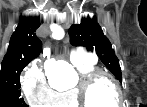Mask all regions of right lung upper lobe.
<instances>
[{"mask_svg":"<svg viewBox=\"0 0 147 107\" xmlns=\"http://www.w3.org/2000/svg\"><path fill=\"white\" fill-rule=\"evenodd\" d=\"M40 26L38 18H20L19 24L12 34L8 50L1 64L0 76L19 69L36 57L42 49L40 39L35 35Z\"/></svg>","mask_w":147,"mask_h":107,"instance_id":"obj_1","label":"right lung upper lobe"}]
</instances>
